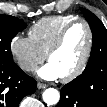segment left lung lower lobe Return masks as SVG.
I'll return each instance as SVG.
<instances>
[{
  "mask_svg": "<svg viewBox=\"0 0 107 107\" xmlns=\"http://www.w3.org/2000/svg\"><path fill=\"white\" fill-rule=\"evenodd\" d=\"M91 81V86L71 81L61 89L56 107H107V66L101 64Z\"/></svg>",
  "mask_w": 107,
  "mask_h": 107,
  "instance_id": "0a47b994",
  "label": "left lung lower lobe"
}]
</instances>
